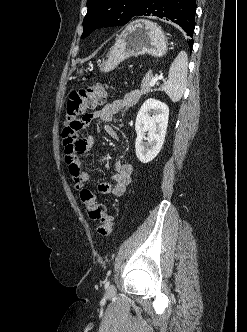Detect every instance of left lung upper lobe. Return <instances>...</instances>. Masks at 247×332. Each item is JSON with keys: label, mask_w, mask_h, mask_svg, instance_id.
I'll use <instances>...</instances> for the list:
<instances>
[{"label": "left lung upper lobe", "mask_w": 247, "mask_h": 332, "mask_svg": "<svg viewBox=\"0 0 247 332\" xmlns=\"http://www.w3.org/2000/svg\"><path fill=\"white\" fill-rule=\"evenodd\" d=\"M146 0H88L87 14L83 20V34L87 37L101 27L127 24Z\"/></svg>", "instance_id": "1"}]
</instances>
